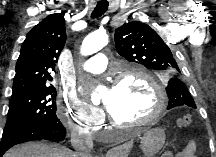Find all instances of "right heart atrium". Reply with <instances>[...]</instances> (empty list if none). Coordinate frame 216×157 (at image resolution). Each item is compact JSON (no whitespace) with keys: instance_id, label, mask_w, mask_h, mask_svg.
Returning <instances> with one entry per match:
<instances>
[{"instance_id":"d8ad5b80","label":"right heart atrium","mask_w":216,"mask_h":157,"mask_svg":"<svg viewBox=\"0 0 216 157\" xmlns=\"http://www.w3.org/2000/svg\"><path fill=\"white\" fill-rule=\"evenodd\" d=\"M57 115L69 129L80 134L93 133L104 121L101 111L90 107L73 94H68L58 103Z\"/></svg>"}]
</instances>
